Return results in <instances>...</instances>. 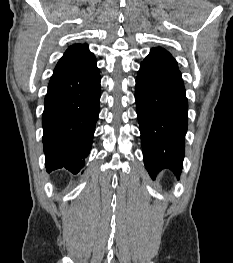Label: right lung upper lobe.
<instances>
[{"mask_svg":"<svg viewBox=\"0 0 233 263\" xmlns=\"http://www.w3.org/2000/svg\"><path fill=\"white\" fill-rule=\"evenodd\" d=\"M96 62L87 44L70 46L57 63L54 73H80L88 70Z\"/></svg>","mask_w":233,"mask_h":263,"instance_id":"right-lung-upper-lobe-1","label":"right lung upper lobe"}]
</instances>
